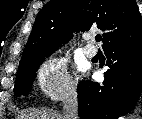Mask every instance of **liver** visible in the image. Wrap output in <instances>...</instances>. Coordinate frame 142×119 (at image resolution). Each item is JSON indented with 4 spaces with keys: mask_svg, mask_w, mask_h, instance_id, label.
Here are the masks:
<instances>
[{
    "mask_svg": "<svg viewBox=\"0 0 142 119\" xmlns=\"http://www.w3.org/2000/svg\"><path fill=\"white\" fill-rule=\"evenodd\" d=\"M24 117L32 119H64V116L48 111H34L30 115H24Z\"/></svg>",
    "mask_w": 142,
    "mask_h": 119,
    "instance_id": "6515ba94",
    "label": "liver"
}]
</instances>
